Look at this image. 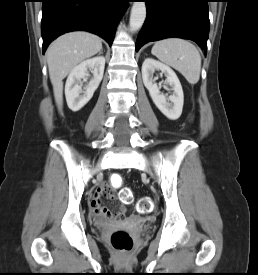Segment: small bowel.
<instances>
[{
	"label": "small bowel",
	"instance_id": "1",
	"mask_svg": "<svg viewBox=\"0 0 258 275\" xmlns=\"http://www.w3.org/2000/svg\"><path fill=\"white\" fill-rule=\"evenodd\" d=\"M108 195L110 198L114 197L111 187L108 184H101L95 190L92 200L90 202V208L94 214L105 219H114L113 214L101 204L102 194ZM120 217L124 216L123 212L118 213Z\"/></svg>",
	"mask_w": 258,
	"mask_h": 275
}]
</instances>
